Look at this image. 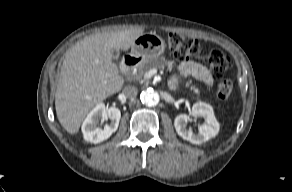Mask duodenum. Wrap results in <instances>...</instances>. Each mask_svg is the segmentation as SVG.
Returning <instances> with one entry per match:
<instances>
[{
  "label": "duodenum",
  "instance_id": "obj_1",
  "mask_svg": "<svg viewBox=\"0 0 292 192\" xmlns=\"http://www.w3.org/2000/svg\"><path fill=\"white\" fill-rule=\"evenodd\" d=\"M138 63H139V59L137 57L132 56V55L126 56L120 65L121 72L127 73L130 69L135 67Z\"/></svg>",
  "mask_w": 292,
  "mask_h": 192
}]
</instances>
